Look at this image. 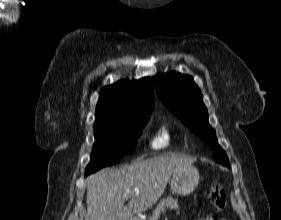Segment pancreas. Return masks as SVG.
Listing matches in <instances>:
<instances>
[{"label":"pancreas","mask_w":281,"mask_h":220,"mask_svg":"<svg viewBox=\"0 0 281 220\" xmlns=\"http://www.w3.org/2000/svg\"><path fill=\"white\" fill-rule=\"evenodd\" d=\"M168 208L175 210L179 209L178 201L171 196L163 198L159 201L157 207L153 211L152 217H150L148 220H158L160 215Z\"/></svg>","instance_id":"obj_1"}]
</instances>
